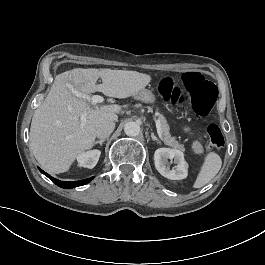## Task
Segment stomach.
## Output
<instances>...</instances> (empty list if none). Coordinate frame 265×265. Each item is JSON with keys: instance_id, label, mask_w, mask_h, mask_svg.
Listing matches in <instances>:
<instances>
[{"instance_id": "1", "label": "stomach", "mask_w": 265, "mask_h": 265, "mask_svg": "<svg viewBox=\"0 0 265 265\" xmlns=\"http://www.w3.org/2000/svg\"><path fill=\"white\" fill-rule=\"evenodd\" d=\"M134 98L145 103H153L155 101L153 93L144 88L136 92Z\"/></svg>"}]
</instances>
